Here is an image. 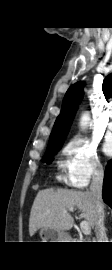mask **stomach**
<instances>
[{"mask_svg":"<svg viewBox=\"0 0 112 270\" xmlns=\"http://www.w3.org/2000/svg\"><path fill=\"white\" fill-rule=\"evenodd\" d=\"M39 234L42 242H68L70 239L67 232L53 228H41Z\"/></svg>","mask_w":112,"mask_h":270,"instance_id":"stomach-1","label":"stomach"}]
</instances>
